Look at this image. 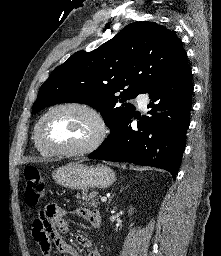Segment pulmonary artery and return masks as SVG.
Returning a JSON list of instances; mask_svg holds the SVG:
<instances>
[{"label": "pulmonary artery", "instance_id": "e3ab8cb5", "mask_svg": "<svg viewBox=\"0 0 221 256\" xmlns=\"http://www.w3.org/2000/svg\"><path fill=\"white\" fill-rule=\"evenodd\" d=\"M136 101L142 109H145L148 103V96L146 94H140L137 96Z\"/></svg>", "mask_w": 221, "mask_h": 256}]
</instances>
